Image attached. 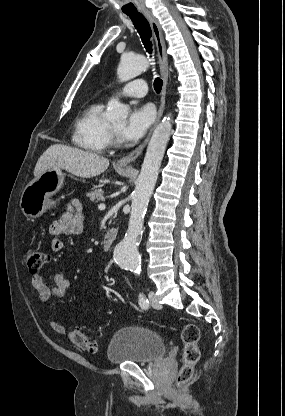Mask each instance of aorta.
<instances>
[{"label":"aorta","mask_w":285,"mask_h":416,"mask_svg":"<svg viewBox=\"0 0 285 416\" xmlns=\"http://www.w3.org/2000/svg\"><path fill=\"white\" fill-rule=\"evenodd\" d=\"M148 67L149 61L145 56L123 55L117 69L118 78L121 82L129 81L146 71ZM128 111L129 108L126 105L121 104L116 99L111 100L108 102L106 119L112 122H123L127 118ZM171 128V119L168 116L158 124L153 132L132 194L128 230L124 239L116 245L114 250V258L117 264L134 274H140L141 272L138 244L142 234L144 215L158 178Z\"/></svg>","instance_id":"aorta-1"}]
</instances>
